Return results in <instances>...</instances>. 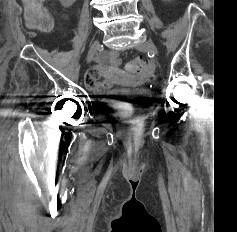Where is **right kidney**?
I'll list each match as a JSON object with an SVG mask.
<instances>
[{"instance_id":"ca27d5eb","label":"right kidney","mask_w":237,"mask_h":232,"mask_svg":"<svg viewBox=\"0 0 237 232\" xmlns=\"http://www.w3.org/2000/svg\"><path fill=\"white\" fill-rule=\"evenodd\" d=\"M76 0H60L62 6L68 8L70 7Z\"/></svg>"}]
</instances>
